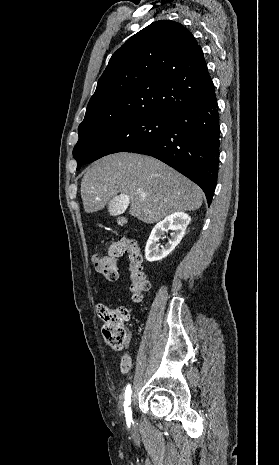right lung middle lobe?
Listing matches in <instances>:
<instances>
[{"label":"right lung middle lobe","instance_id":"1","mask_svg":"<svg viewBox=\"0 0 279 465\" xmlns=\"http://www.w3.org/2000/svg\"><path fill=\"white\" fill-rule=\"evenodd\" d=\"M169 124V115L139 114L78 130L73 150L77 170L105 155L142 148L166 132Z\"/></svg>","mask_w":279,"mask_h":465}]
</instances>
